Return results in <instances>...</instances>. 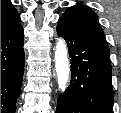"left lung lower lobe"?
Listing matches in <instances>:
<instances>
[{"label": "left lung lower lobe", "instance_id": "obj_1", "mask_svg": "<svg viewBox=\"0 0 121 113\" xmlns=\"http://www.w3.org/2000/svg\"><path fill=\"white\" fill-rule=\"evenodd\" d=\"M69 49L71 81L56 113H113L109 49L97 37L61 17L57 25Z\"/></svg>", "mask_w": 121, "mask_h": 113}]
</instances>
